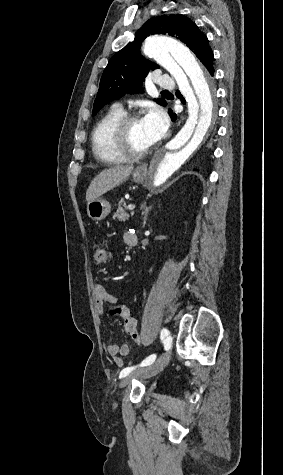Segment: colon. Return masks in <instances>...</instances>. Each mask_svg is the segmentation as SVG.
<instances>
[{"label": "colon", "instance_id": "1", "mask_svg": "<svg viewBox=\"0 0 283 475\" xmlns=\"http://www.w3.org/2000/svg\"><path fill=\"white\" fill-rule=\"evenodd\" d=\"M110 257L109 250L106 249L101 243L97 242L92 247V260L94 267L103 266ZM111 312L120 317L125 326V330L128 336L137 344L141 343L140 334L137 327L136 319L130 314L129 307L127 305L112 306Z\"/></svg>", "mask_w": 283, "mask_h": 475}]
</instances>
